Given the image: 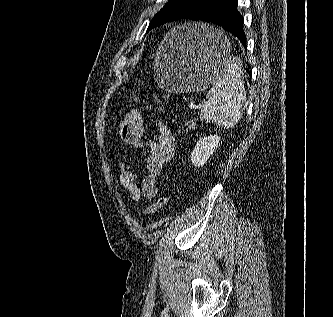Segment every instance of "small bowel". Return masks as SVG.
Returning <instances> with one entry per match:
<instances>
[{
	"label": "small bowel",
	"mask_w": 333,
	"mask_h": 317,
	"mask_svg": "<svg viewBox=\"0 0 333 317\" xmlns=\"http://www.w3.org/2000/svg\"><path fill=\"white\" fill-rule=\"evenodd\" d=\"M119 134L127 144L135 149H144L146 152L143 175L134 172L131 162L123 158L119 160L120 185L136 203L143 198H154L158 193V177L176 150L173 132L165 123L157 121L156 140L147 139L142 112L139 109H131L119 122Z\"/></svg>",
	"instance_id": "c3829d8e"
}]
</instances>
